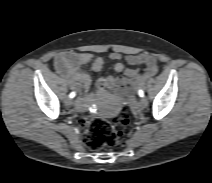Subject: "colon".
I'll return each mask as SVG.
<instances>
[{"label": "colon", "mask_w": 212, "mask_h": 183, "mask_svg": "<svg viewBox=\"0 0 212 183\" xmlns=\"http://www.w3.org/2000/svg\"><path fill=\"white\" fill-rule=\"evenodd\" d=\"M80 123L86 128V146L92 150H99L120 145L124 141V132L117 124L126 125L128 116L123 115L115 124L102 117H81Z\"/></svg>", "instance_id": "colon-1"}]
</instances>
